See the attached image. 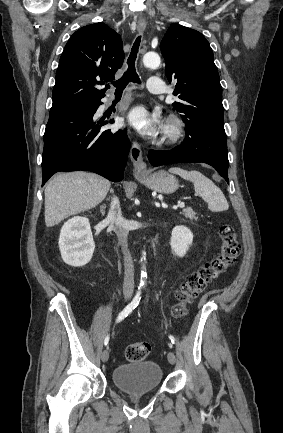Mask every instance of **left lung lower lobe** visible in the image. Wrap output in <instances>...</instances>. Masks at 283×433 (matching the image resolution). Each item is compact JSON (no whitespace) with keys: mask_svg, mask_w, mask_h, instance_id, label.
<instances>
[{"mask_svg":"<svg viewBox=\"0 0 283 433\" xmlns=\"http://www.w3.org/2000/svg\"><path fill=\"white\" fill-rule=\"evenodd\" d=\"M186 139L168 151L150 150L148 159L152 166L182 162H204L213 166L228 181V151L226 134L216 124L186 126Z\"/></svg>","mask_w":283,"mask_h":433,"instance_id":"0a47b994","label":"left lung lower lobe"}]
</instances>
